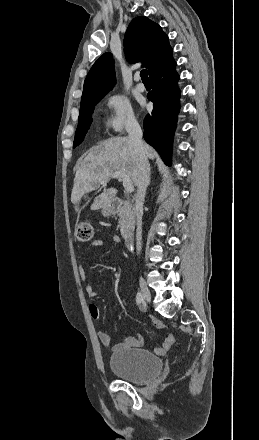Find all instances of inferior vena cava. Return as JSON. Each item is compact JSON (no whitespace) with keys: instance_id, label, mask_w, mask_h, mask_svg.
Here are the masks:
<instances>
[{"instance_id":"obj_1","label":"inferior vena cava","mask_w":259,"mask_h":440,"mask_svg":"<svg viewBox=\"0 0 259 440\" xmlns=\"http://www.w3.org/2000/svg\"><path fill=\"white\" fill-rule=\"evenodd\" d=\"M128 138L132 141L136 151L139 154V174L137 182V194L135 199V213L137 217L136 230V249L138 254L142 246V215L143 204L146 194V189L150 180V166L146 157V145L142 141V130L136 120H131L127 125Z\"/></svg>"}]
</instances>
